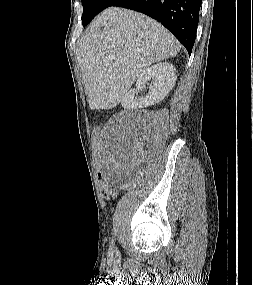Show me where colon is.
Segmentation results:
<instances>
[{"mask_svg":"<svg viewBox=\"0 0 253 285\" xmlns=\"http://www.w3.org/2000/svg\"><path fill=\"white\" fill-rule=\"evenodd\" d=\"M92 133L94 150H92V158H94L93 172L94 176H97L98 180H101V188L103 195L106 199H112L115 196V189L111 184V179L107 175V172L104 171L103 159L99 158V155L102 154V151L105 150V144L103 141V133L99 126H94Z\"/></svg>","mask_w":253,"mask_h":285,"instance_id":"1","label":"colon"}]
</instances>
